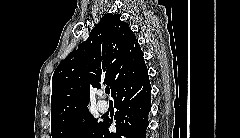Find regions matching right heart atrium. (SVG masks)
<instances>
[{"label":"right heart atrium","mask_w":240,"mask_h":138,"mask_svg":"<svg viewBox=\"0 0 240 138\" xmlns=\"http://www.w3.org/2000/svg\"><path fill=\"white\" fill-rule=\"evenodd\" d=\"M73 135H74V136H80V135H82V133L77 132V133H74Z\"/></svg>","instance_id":"d8ad5b80"}]
</instances>
